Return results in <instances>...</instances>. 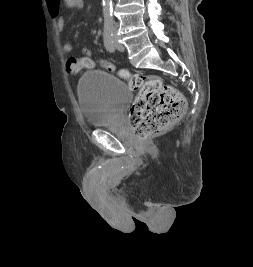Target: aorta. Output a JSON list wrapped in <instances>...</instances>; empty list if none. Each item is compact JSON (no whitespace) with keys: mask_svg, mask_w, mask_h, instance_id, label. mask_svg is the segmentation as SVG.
Segmentation results:
<instances>
[{"mask_svg":"<svg viewBox=\"0 0 253 267\" xmlns=\"http://www.w3.org/2000/svg\"><path fill=\"white\" fill-rule=\"evenodd\" d=\"M102 10H103L104 26H112L113 24L112 0H102Z\"/></svg>","mask_w":253,"mask_h":267,"instance_id":"762f6f07","label":"aorta"}]
</instances>
